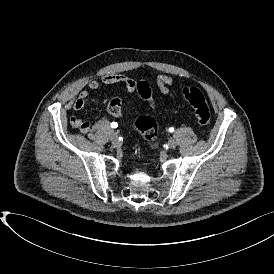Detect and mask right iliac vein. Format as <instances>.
I'll use <instances>...</instances> for the list:
<instances>
[{"instance_id": "right-iliac-vein-1", "label": "right iliac vein", "mask_w": 274, "mask_h": 274, "mask_svg": "<svg viewBox=\"0 0 274 274\" xmlns=\"http://www.w3.org/2000/svg\"><path fill=\"white\" fill-rule=\"evenodd\" d=\"M117 138H118L117 133L116 132H111V134H110L111 142H113V143L117 142Z\"/></svg>"}]
</instances>
